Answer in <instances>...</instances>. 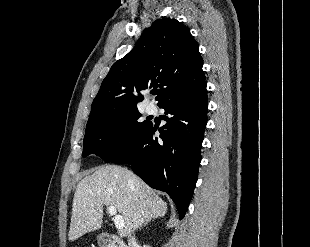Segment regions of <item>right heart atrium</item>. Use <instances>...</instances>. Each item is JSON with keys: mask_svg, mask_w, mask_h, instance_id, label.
Listing matches in <instances>:
<instances>
[{"mask_svg": "<svg viewBox=\"0 0 310 247\" xmlns=\"http://www.w3.org/2000/svg\"><path fill=\"white\" fill-rule=\"evenodd\" d=\"M123 136V131H120L119 133H118V137H122Z\"/></svg>", "mask_w": 310, "mask_h": 247, "instance_id": "obj_1", "label": "right heart atrium"}]
</instances>
